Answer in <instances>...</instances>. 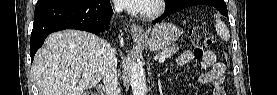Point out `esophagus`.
Instances as JSON below:
<instances>
[{"label":"esophagus","instance_id":"34e87169","mask_svg":"<svg viewBox=\"0 0 277 95\" xmlns=\"http://www.w3.org/2000/svg\"><path fill=\"white\" fill-rule=\"evenodd\" d=\"M131 36L133 39H142L144 36V31H143L142 26H140L138 24H132Z\"/></svg>","mask_w":277,"mask_h":95}]
</instances>
